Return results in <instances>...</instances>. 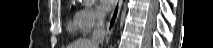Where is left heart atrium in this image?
Masks as SVG:
<instances>
[{
    "mask_svg": "<svg viewBox=\"0 0 213 48\" xmlns=\"http://www.w3.org/2000/svg\"><path fill=\"white\" fill-rule=\"evenodd\" d=\"M114 4H115L114 0H101L99 5L100 11L102 13H107L112 9Z\"/></svg>",
    "mask_w": 213,
    "mask_h": 48,
    "instance_id": "obj_1",
    "label": "left heart atrium"
}]
</instances>
